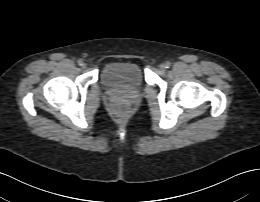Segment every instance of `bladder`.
<instances>
[{
  "label": "bladder",
  "mask_w": 260,
  "mask_h": 202,
  "mask_svg": "<svg viewBox=\"0 0 260 202\" xmlns=\"http://www.w3.org/2000/svg\"><path fill=\"white\" fill-rule=\"evenodd\" d=\"M100 83L106 88L137 92L144 87L145 77L134 62H112L100 73Z\"/></svg>",
  "instance_id": "31cf9c89"
}]
</instances>
